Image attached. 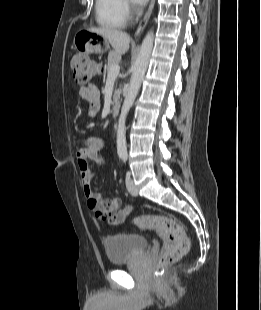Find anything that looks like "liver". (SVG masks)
Returning <instances> with one entry per match:
<instances>
[{
	"label": "liver",
	"mask_w": 261,
	"mask_h": 310,
	"mask_svg": "<svg viewBox=\"0 0 261 310\" xmlns=\"http://www.w3.org/2000/svg\"><path fill=\"white\" fill-rule=\"evenodd\" d=\"M88 31L103 36L116 53L125 54L129 50L130 37L127 33L113 28H90Z\"/></svg>",
	"instance_id": "liver-1"
}]
</instances>
